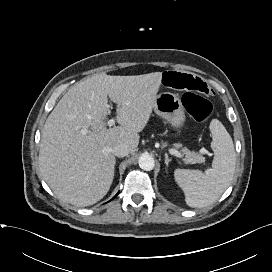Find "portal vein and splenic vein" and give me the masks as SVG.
Returning a JSON list of instances; mask_svg holds the SVG:
<instances>
[{
    "mask_svg": "<svg viewBox=\"0 0 272 272\" xmlns=\"http://www.w3.org/2000/svg\"><path fill=\"white\" fill-rule=\"evenodd\" d=\"M115 124V120L114 119H110L108 122H107V125L108 126H113ZM169 153L178 157V158H183V155L176 149H173V148H170L169 149Z\"/></svg>",
    "mask_w": 272,
    "mask_h": 272,
    "instance_id": "18ae733b",
    "label": "portal vein and splenic vein"
}]
</instances>
